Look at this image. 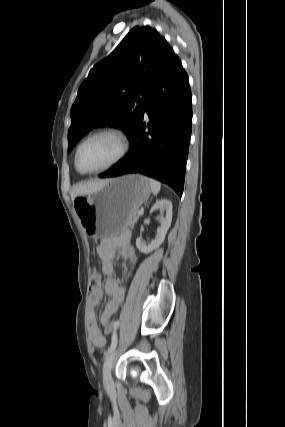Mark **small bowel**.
<instances>
[{
	"instance_id": "obj_1",
	"label": "small bowel",
	"mask_w": 285,
	"mask_h": 427,
	"mask_svg": "<svg viewBox=\"0 0 285 427\" xmlns=\"http://www.w3.org/2000/svg\"><path fill=\"white\" fill-rule=\"evenodd\" d=\"M97 254L101 260V267L103 272L107 275L105 283V292L110 296L109 301L106 303L99 321L101 325L108 326L112 323L113 317L118 311L119 306L123 302L125 290L120 284L118 279L114 275L113 260L117 252H120L122 258L135 265L137 262V256L134 248L130 244L128 236L121 238H106L100 241L96 248ZM103 296V289H93L89 295V305L92 314H94L95 308L100 303ZM90 340L95 348H103L106 344L105 337L101 333L98 325L93 323L90 330Z\"/></svg>"
}]
</instances>
